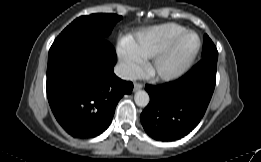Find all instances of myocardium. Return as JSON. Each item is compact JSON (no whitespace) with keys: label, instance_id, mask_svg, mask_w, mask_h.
I'll return each mask as SVG.
<instances>
[{"label":"myocardium","instance_id":"obj_1","mask_svg":"<svg viewBox=\"0 0 261 162\" xmlns=\"http://www.w3.org/2000/svg\"><path fill=\"white\" fill-rule=\"evenodd\" d=\"M193 34L197 38V43L190 54L176 67L171 69H165L163 63L172 55L177 45L181 40L189 35ZM201 47V39L199 35L193 30H185L176 37H174L162 50L157 52L147 65L148 74L154 79L161 81H173L184 75L192 66L196 56L199 53Z\"/></svg>","mask_w":261,"mask_h":162}]
</instances>
